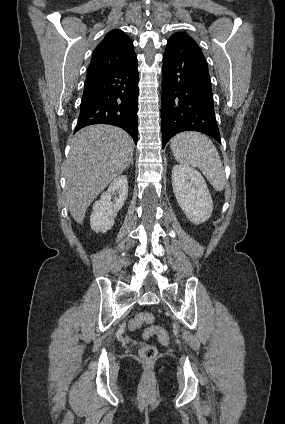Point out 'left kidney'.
Returning <instances> with one entry per match:
<instances>
[{
  "label": "left kidney",
  "mask_w": 285,
  "mask_h": 424,
  "mask_svg": "<svg viewBox=\"0 0 285 424\" xmlns=\"http://www.w3.org/2000/svg\"><path fill=\"white\" fill-rule=\"evenodd\" d=\"M172 186L179 206L192 223L198 225L210 218L213 201L201 173L192 167L174 165Z\"/></svg>",
  "instance_id": "left-kidney-1"
}]
</instances>
